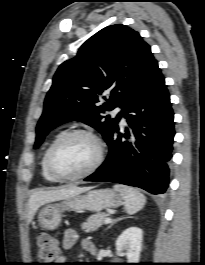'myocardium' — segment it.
<instances>
[{
	"label": "myocardium",
	"instance_id": "f54148a6",
	"mask_svg": "<svg viewBox=\"0 0 205 265\" xmlns=\"http://www.w3.org/2000/svg\"><path fill=\"white\" fill-rule=\"evenodd\" d=\"M73 136H85L90 138L96 145L97 148V156L95 161L83 172L76 174V175H62L58 173L52 166V155L56 148L65 140L68 138H71ZM104 161V147L100 140V138L94 134L93 132L85 129H72L66 132H63L60 134L49 146L47 149L46 155H45V166L49 174L55 178L57 181H63V182H72V181H78L84 178L89 177L93 173H95L100 166L102 165Z\"/></svg>",
	"mask_w": 205,
	"mask_h": 265
}]
</instances>
